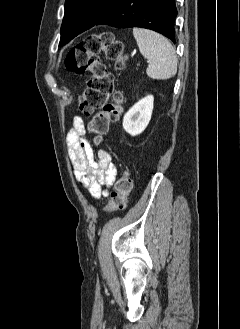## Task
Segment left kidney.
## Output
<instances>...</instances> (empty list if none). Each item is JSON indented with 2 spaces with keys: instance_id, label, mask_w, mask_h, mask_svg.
<instances>
[{
  "instance_id": "obj_1",
  "label": "left kidney",
  "mask_w": 240,
  "mask_h": 329,
  "mask_svg": "<svg viewBox=\"0 0 240 329\" xmlns=\"http://www.w3.org/2000/svg\"><path fill=\"white\" fill-rule=\"evenodd\" d=\"M154 97L148 95L139 100L129 111L124 115L123 128L132 136L142 133L151 120L153 111Z\"/></svg>"
}]
</instances>
